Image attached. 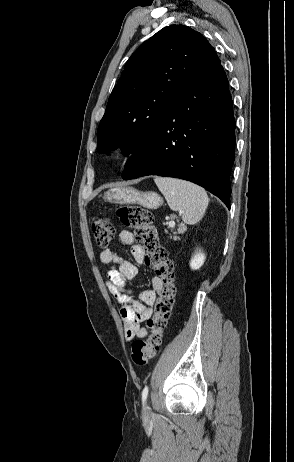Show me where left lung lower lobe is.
Returning <instances> with one entry per match:
<instances>
[{
    "instance_id": "obj_1",
    "label": "left lung lower lobe",
    "mask_w": 294,
    "mask_h": 462,
    "mask_svg": "<svg viewBox=\"0 0 294 462\" xmlns=\"http://www.w3.org/2000/svg\"><path fill=\"white\" fill-rule=\"evenodd\" d=\"M235 119L220 63L178 96L173 109L128 159L123 179L147 175L191 181L230 209Z\"/></svg>"
}]
</instances>
